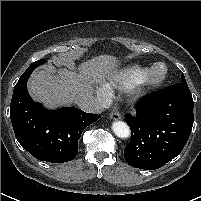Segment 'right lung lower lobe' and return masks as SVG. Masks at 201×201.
Here are the masks:
<instances>
[{"label": "right lung lower lobe", "instance_id": "obj_1", "mask_svg": "<svg viewBox=\"0 0 201 201\" xmlns=\"http://www.w3.org/2000/svg\"><path fill=\"white\" fill-rule=\"evenodd\" d=\"M35 66H29L14 87L10 119L16 139L38 160L63 163L75 158L82 131L101 116L64 107L47 110L34 102L27 91V80Z\"/></svg>", "mask_w": 201, "mask_h": 201}]
</instances>
